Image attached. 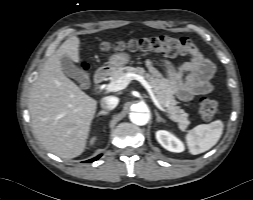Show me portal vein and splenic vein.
Listing matches in <instances>:
<instances>
[{"label":"portal vein and splenic vein","instance_id":"1","mask_svg":"<svg viewBox=\"0 0 253 200\" xmlns=\"http://www.w3.org/2000/svg\"><path fill=\"white\" fill-rule=\"evenodd\" d=\"M131 80L139 81L142 84V86L149 93V95H150L153 103L155 104V106L159 110H161L163 112H166V110L160 105L157 98L155 97L154 92H153L151 86L149 85V83L141 75H138V74H135V73H126L125 75L120 77L118 80L110 82L106 86V91L107 92H117V91L123 90L128 86V84L131 82Z\"/></svg>","mask_w":253,"mask_h":200}]
</instances>
